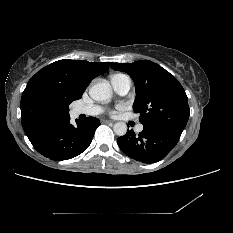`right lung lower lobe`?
Returning a JSON list of instances; mask_svg holds the SVG:
<instances>
[{"label":"right lung lower lobe","instance_id":"1","mask_svg":"<svg viewBox=\"0 0 233 233\" xmlns=\"http://www.w3.org/2000/svg\"><path fill=\"white\" fill-rule=\"evenodd\" d=\"M77 125L70 124V118L53 125L30 138L33 147L43 156L56 160H68L85 151L94 136L100 121L88 117L84 121L76 120Z\"/></svg>","mask_w":233,"mask_h":233}]
</instances>
